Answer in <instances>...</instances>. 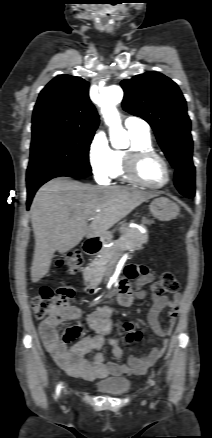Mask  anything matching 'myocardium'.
I'll return each mask as SVG.
<instances>
[{
    "mask_svg": "<svg viewBox=\"0 0 212 438\" xmlns=\"http://www.w3.org/2000/svg\"><path fill=\"white\" fill-rule=\"evenodd\" d=\"M157 158L161 161L166 172V180L159 185L150 184L144 181L139 174L141 163L147 158ZM125 176L133 183L151 189H162L169 185L172 178V172L168 161L159 153L150 149H132L126 154L124 161Z\"/></svg>",
    "mask_w": 212,
    "mask_h": 438,
    "instance_id": "myocardium-1",
    "label": "myocardium"
}]
</instances>
